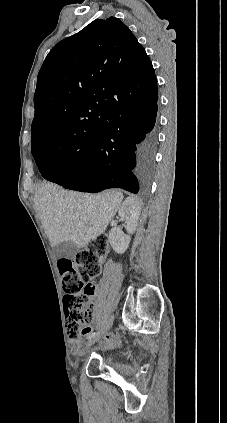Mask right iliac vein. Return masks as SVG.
Returning a JSON list of instances; mask_svg holds the SVG:
<instances>
[{
	"mask_svg": "<svg viewBox=\"0 0 227 423\" xmlns=\"http://www.w3.org/2000/svg\"><path fill=\"white\" fill-rule=\"evenodd\" d=\"M112 322H113V316H110L108 318V320L106 321V323H105L103 329L101 330V332L98 335H96L95 337H93L92 339L88 340L87 347L91 346L93 343H95L96 341H98L99 339L104 337L105 334L107 333V331L110 329Z\"/></svg>",
	"mask_w": 227,
	"mask_h": 423,
	"instance_id": "63e3f726",
	"label": "right iliac vein"
}]
</instances>
